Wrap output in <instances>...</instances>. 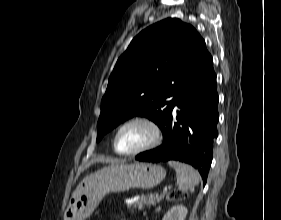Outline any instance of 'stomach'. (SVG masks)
<instances>
[{"mask_svg": "<svg viewBox=\"0 0 281 220\" xmlns=\"http://www.w3.org/2000/svg\"><path fill=\"white\" fill-rule=\"evenodd\" d=\"M165 176L163 167L143 162L111 165L91 173L74 191L64 220H85L107 193L131 188L151 189L161 183Z\"/></svg>", "mask_w": 281, "mask_h": 220, "instance_id": "1", "label": "stomach"}]
</instances>
